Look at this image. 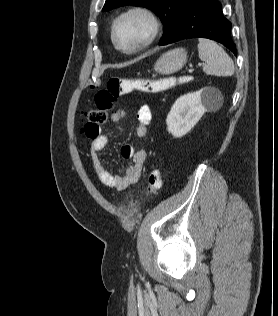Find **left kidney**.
Listing matches in <instances>:
<instances>
[{"label":"left kidney","instance_id":"1","mask_svg":"<svg viewBox=\"0 0 278 316\" xmlns=\"http://www.w3.org/2000/svg\"><path fill=\"white\" fill-rule=\"evenodd\" d=\"M218 95L217 89L205 87L179 97L166 119L168 132L176 138L186 135L213 105Z\"/></svg>","mask_w":278,"mask_h":316}]
</instances>
